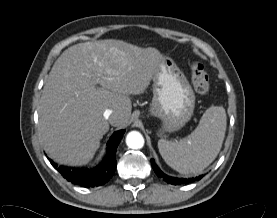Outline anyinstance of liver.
<instances>
[{
	"mask_svg": "<svg viewBox=\"0 0 277 218\" xmlns=\"http://www.w3.org/2000/svg\"><path fill=\"white\" fill-rule=\"evenodd\" d=\"M162 61L155 48L113 39L66 49L49 73L38 108L39 133L49 156L64 165L92 160L109 124L128 123L130 95L144 93ZM106 109L113 111L111 120L103 116Z\"/></svg>",
	"mask_w": 277,
	"mask_h": 218,
	"instance_id": "1",
	"label": "liver"
}]
</instances>
